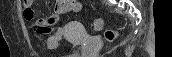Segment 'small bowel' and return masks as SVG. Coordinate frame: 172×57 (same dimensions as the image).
Returning <instances> with one entry per match:
<instances>
[{
  "instance_id": "obj_1",
  "label": "small bowel",
  "mask_w": 172,
  "mask_h": 57,
  "mask_svg": "<svg viewBox=\"0 0 172 57\" xmlns=\"http://www.w3.org/2000/svg\"><path fill=\"white\" fill-rule=\"evenodd\" d=\"M26 7L33 6L32 0H24ZM76 7V1L74 0H56L54 2V14L46 19H38L32 26V30L37 38L43 42L47 48L54 49L58 46L62 36L61 30L55 31V24L59 21L60 15L71 11ZM34 12V11H33ZM35 13L32 17L24 14V18L27 21H31L34 18Z\"/></svg>"
}]
</instances>
